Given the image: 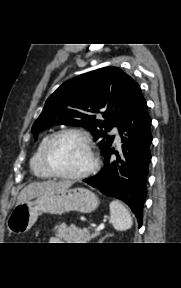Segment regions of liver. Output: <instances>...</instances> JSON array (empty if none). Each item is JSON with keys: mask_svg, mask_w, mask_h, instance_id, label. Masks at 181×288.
I'll use <instances>...</instances> for the list:
<instances>
[{"mask_svg": "<svg viewBox=\"0 0 181 288\" xmlns=\"http://www.w3.org/2000/svg\"><path fill=\"white\" fill-rule=\"evenodd\" d=\"M72 184V181H43L30 183L20 192L17 198L16 205L34 199L48 192L65 190L69 188Z\"/></svg>", "mask_w": 181, "mask_h": 288, "instance_id": "1", "label": "liver"}]
</instances>
